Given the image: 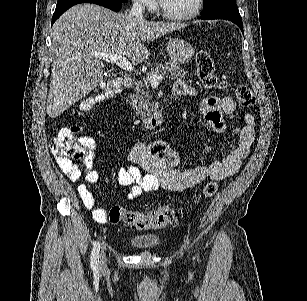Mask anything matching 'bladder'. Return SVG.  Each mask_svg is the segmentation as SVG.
Listing matches in <instances>:
<instances>
[{
    "label": "bladder",
    "mask_w": 307,
    "mask_h": 301,
    "mask_svg": "<svg viewBox=\"0 0 307 301\" xmlns=\"http://www.w3.org/2000/svg\"><path fill=\"white\" fill-rule=\"evenodd\" d=\"M160 235L144 236L132 235L130 244L136 246L137 250H149L159 244Z\"/></svg>",
    "instance_id": "31cf9c89"
}]
</instances>
